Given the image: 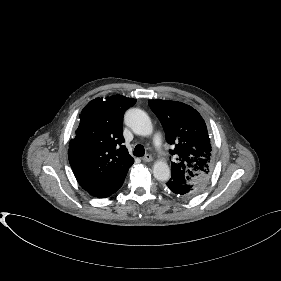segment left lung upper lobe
Returning a JSON list of instances; mask_svg holds the SVG:
<instances>
[{
	"mask_svg": "<svg viewBox=\"0 0 281 281\" xmlns=\"http://www.w3.org/2000/svg\"><path fill=\"white\" fill-rule=\"evenodd\" d=\"M151 110L160 120L166 140L174 145L170 153L171 179L179 184L194 185L199 191L209 180L214 166V156L206 124L191 106L168 100H149Z\"/></svg>",
	"mask_w": 281,
	"mask_h": 281,
	"instance_id": "5c2ea615",
	"label": "left lung upper lobe"
}]
</instances>
